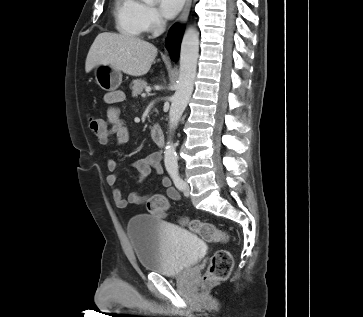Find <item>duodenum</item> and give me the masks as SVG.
<instances>
[{
	"label": "duodenum",
	"instance_id": "obj_1",
	"mask_svg": "<svg viewBox=\"0 0 363 317\" xmlns=\"http://www.w3.org/2000/svg\"><path fill=\"white\" fill-rule=\"evenodd\" d=\"M150 135L152 137V140L158 145V146H164L165 144V136L163 129L160 126H153L150 130Z\"/></svg>",
	"mask_w": 363,
	"mask_h": 317
}]
</instances>
